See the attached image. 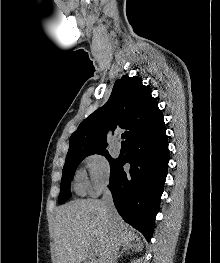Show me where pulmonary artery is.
I'll list each match as a JSON object with an SVG mask.
<instances>
[{
	"instance_id": "e3ab8cb5",
	"label": "pulmonary artery",
	"mask_w": 220,
	"mask_h": 263,
	"mask_svg": "<svg viewBox=\"0 0 220 263\" xmlns=\"http://www.w3.org/2000/svg\"><path fill=\"white\" fill-rule=\"evenodd\" d=\"M115 148L117 150H120L121 149V142L117 139L116 142H115Z\"/></svg>"
}]
</instances>
